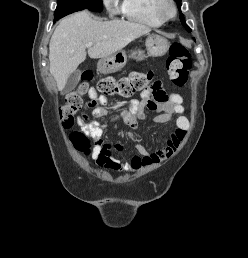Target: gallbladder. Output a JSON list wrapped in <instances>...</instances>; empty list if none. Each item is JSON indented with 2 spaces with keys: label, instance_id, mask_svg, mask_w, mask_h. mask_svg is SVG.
Instances as JSON below:
<instances>
[{
  "label": "gallbladder",
  "instance_id": "1",
  "mask_svg": "<svg viewBox=\"0 0 248 258\" xmlns=\"http://www.w3.org/2000/svg\"><path fill=\"white\" fill-rule=\"evenodd\" d=\"M80 74L81 72L79 70L74 71L67 79V83L63 89V94H66L70 91H72L78 84L80 80Z\"/></svg>",
  "mask_w": 248,
  "mask_h": 258
}]
</instances>
